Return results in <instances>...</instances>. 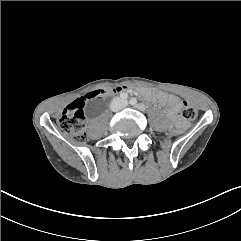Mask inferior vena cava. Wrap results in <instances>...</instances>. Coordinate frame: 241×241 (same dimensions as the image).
Here are the masks:
<instances>
[{
	"label": "inferior vena cava",
	"instance_id": "602c4592",
	"mask_svg": "<svg viewBox=\"0 0 241 241\" xmlns=\"http://www.w3.org/2000/svg\"><path fill=\"white\" fill-rule=\"evenodd\" d=\"M127 101H123L121 103H115L113 106H112V109L113 111H119L121 109H123L124 107L127 106Z\"/></svg>",
	"mask_w": 241,
	"mask_h": 241
}]
</instances>
